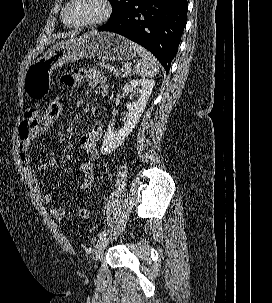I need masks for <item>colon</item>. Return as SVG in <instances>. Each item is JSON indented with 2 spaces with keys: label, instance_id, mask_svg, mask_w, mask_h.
<instances>
[{
  "label": "colon",
  "instance_id": "1",
  "mask_svg": "<svg viewBox=\"0 0 272 303\" xmlns=\"http://www.w3.org/2000/svg\"><path fill=\"white\" fill-rule=\"evenodd\" d=\"M101 70L112 76L118 77L121 74V70L112 62L107 60H101L99 62ZM62 116V100L59 96L53 97L47 104L43 114L40 116L39 129L46 136L53 133L61 120ZM91 211L88 208H82L79 210L78 216L82 220H86L90 217Z\"/></svg>",
  "mask_w": 272,
  "mask_h": 303
}]
</instances>
